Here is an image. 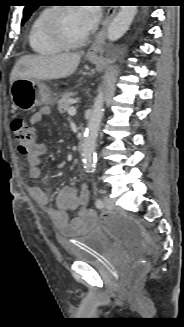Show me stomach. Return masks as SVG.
I'll list each match as a JSON object with an SVG mask.
<instances>
[{"label": "stomach", "instance_id": "obj_1", "mask_svg": "<svg viewBox=\"0 0 184 327\" xmlns=\"http://www.w3.org/2000/svg\"><path fill=\"white\" fill-rule=\"evenodd\" d=\"M90 62H96L97 55H88ZM11 100L17 109L28 111L36 106L52 105L55 99L48 87L36 79L18 78L11 85Z\"/></svg>", "mask_w": 184, "mask_h": 327}]
</instances>
